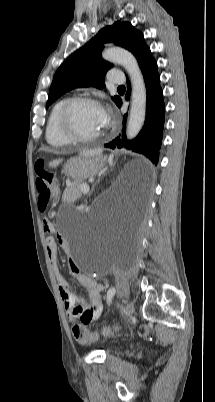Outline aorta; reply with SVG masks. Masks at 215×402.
<instances>
[{"label": "aorta", "mask_w": 215, "mask_h": 402, "mask_svg": "<svg viewBox=\"0 0 215 402\" xmlns=\"http://www.w3.org/2000/svg\"><path fill=\"white\" fill-rule=\"evenodd\" d=\"M103 59L120 64L131 81V107L126 129L128 139L135 138L141 131L146 117V86L135 57L125 49L111 47L102 53Z\"/></svg>", "instance_id": "762f6f07"}]
</instances>
